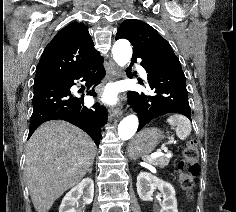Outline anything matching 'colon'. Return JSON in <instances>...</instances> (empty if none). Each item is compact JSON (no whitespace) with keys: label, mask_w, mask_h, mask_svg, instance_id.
Listing matches in <instances>:
<instances>
[{"label":"colon","mask_w":236,"mask_h":212,"mask_svg":"<svg viewBox=\"0 0 236 212\" xmlns=\"http://www.w3.org/2000/svg\"><path fill=\"white\" fill-rule=\"evenodd\" d=\"M199 159L198 143L196 140H191L186 144L183 157L178 164L180 186L189 198L193 196L195 178L200 170Z\"/></svg>","instance_id":"colon-1"}]
</instances>
